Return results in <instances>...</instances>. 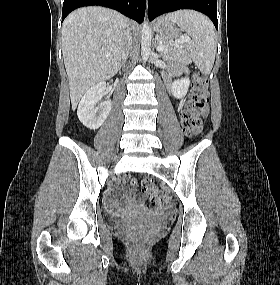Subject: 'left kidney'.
<instances>
[{
    "label": "left kidney",
    "mask_w": 280,
    "mask_h": 285,
    "mask_svg": "<svg viewBox=\"0 0 280 285\" xmlns=\"http://www.w3.org/2000/svg\"><path fill=\"white\" fill-rule=\"evenodd\" d=\"M189 84V78H181L180 80H175L171 86L172 94L177 99L184 97L188 92Z\"/></svg>",
    "instance_id": "obj_1"
}]
</instances>
